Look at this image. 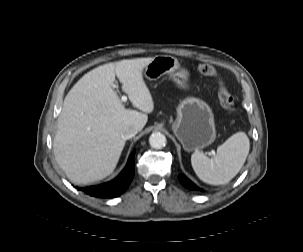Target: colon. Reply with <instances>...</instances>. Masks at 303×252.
<instances>
[{
	"label": "colon",
	"instance_id": "colon-1",
	"mask_svg": "<svg viewBox=\"0 0 303 252\" xmlns=\"http://www.w3.org/2000/svg\"><path fill=\"white\" fill-rule=\"evenodd\" d=\"M198 71L202 75L218 78L217 71L212 65L201 64L198 67ZM217 94H218V98H219L221 106L226 111H228L230 113H234L236 111V106L233 101V98L230 95V93H229L227 87L225 86V84L223 83V81H221L219 78H218Z\"/></svg>",
	"mask_w": 303,
	"mask_h": 252
}]
</instances>
